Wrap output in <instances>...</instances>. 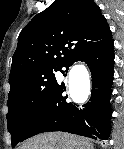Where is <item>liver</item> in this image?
I'll list each match as a JSON object with an SVG mask.
<instances>
[{
	"label": "liver",
	"instance_id": "1",
	"mask_svg": "<svg viewBox=\"0 0 124 149\" xmlns=\"http://www.w3.org/2000/svg\"><path fill=\"white\" fill-rule=\"evenodd\" d=\"M21 149H93V144L68 133H46L31 138Z\"/></svg>",
	"mask_w": 124,
	"mask_h": 149
}]
</instances>
